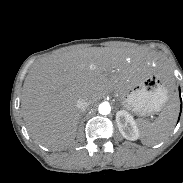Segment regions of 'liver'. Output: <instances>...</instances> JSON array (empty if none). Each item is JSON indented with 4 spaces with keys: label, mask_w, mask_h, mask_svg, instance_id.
I'll return each mask as SVG.
<instances>
[{
    "label": "liver",
    "mask_w": 183,
    "mask_h": 183,
    "mask_svg": "<svg viewBox=\"0 0 183 183\" xmlns=\"http://www.w3.org/2000/svg\"><path fill=\"white\" fill-rule=\"evenodd\" d=\"M155 59L143 51L116 47L72 49L42 58L25 78L21 109L30 136L60 150L76 136L80 111L110 92L121 94L137 72Z\"/></svg>",
    "instance_id": "1"
}]
</instances>
